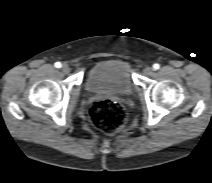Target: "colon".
Segmentation results:
<instances>
[{"label":"colon","instance_id":"5ec220e1","mask_svg":"<svg viewBox=\"0 0 212 183\" xmlns=\"http://www.w3.org/2000/svg\"><path fill=\"white\" fill-rule=\"evenodd\" d=\"M91 123L102 132L114 135L123 131L129 119L122 105L111 99L94 101L89 110Z\"/></svg>","mask_w":212,"mask_h":183}]
</instances>
